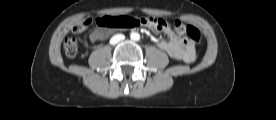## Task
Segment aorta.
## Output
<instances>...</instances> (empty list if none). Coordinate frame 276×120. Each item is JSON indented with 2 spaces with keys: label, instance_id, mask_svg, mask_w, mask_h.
I'll use <instances>...</instances> for the list:
<instances>
[{
  "label": "aorta",
  "instance_id": "aorta-1",
  "mask_svg": "<svg viewBox=\"0 0 276 120\" xmlns=\"http://www.w3.org/2000/svg\"><path fill=\"white\" fill-rule=\"evenodd\" d=\"M131 39L134 40V41H138L140 40V34L137 33V32H132L131 35H130Z\"/></svg>",
  "mask_w": 276,
  "mask_h": 120
}]
</instances>
